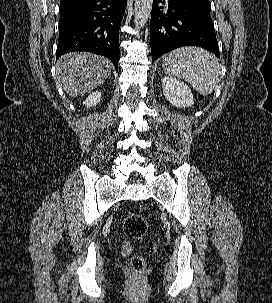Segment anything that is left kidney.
I'll list each match as a JSON object with an SVG mask.
<instances>
[{
    "label": "left kidney",
    "mask_w": 272,
    "mask_h": 303,
    "mask_svg": "<svg viewBox=\"0 0 272 303\" xmlns=\"http://www.w3.org/2000/svg\"><path fill=\"white\" fill-rule=\"evenodd\" d=\"M163 94L165 98L177 108L191 107L194 104L193 94L184 82L173 78H162Z\"/></svg>",
    "instance_id": "left-kidney-1"
}]
</instances>
